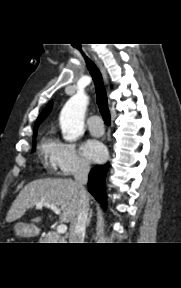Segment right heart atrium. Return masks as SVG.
I'll return each mask as SVG.
<instances>
[{
    "label": "right heart atrium",
    "instance_id": "obj_1",
    "mask_svg": "<svg viewBox=\"0 0 181 288\" xmlns=\"http://www.w3.org/2000/svg\"><path fill=\"white\" fill-rule=\"evenodd\" d=\"M45 153L51 169L58 175L71 176L89 170V163L72 142L51 140L46 145Z\"/></svg>",
    "mask_w": 181,
    "mask_h": 288
}]
</instances>
